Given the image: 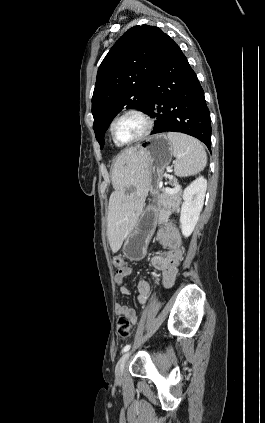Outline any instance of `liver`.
I'll list each match as a JSON object with an SVG mask.
<instances>
[{
  "label": "liver",
  "mask_w": 265,
  "mask_h": 423,
  "mask_svg": "<svg viewBox=\"0 0 265 423\" xmlns=\"http://www.w3.org/2000/svg\"><path fill=\"white\" fill-rule=\"evenodd\" d=\"M114 192L108 206L107 235L116 253L140 216L149 191L148 156L139 146L125 149L112 170ZM131 189L132 192L128 193Z\"/></svg>",
  "instance_id": "1"
}]
</instances>
